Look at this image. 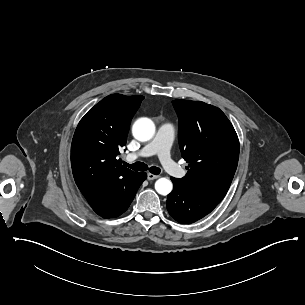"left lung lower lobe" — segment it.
I'll use <instances>...</instances> for the list:
<instances>
[{
    "instance_id": "obj_1",
    "label": "left lung lower lobe",
    "mask_w": 305,
    "mask_h": 305,
    "mask_svg": "<svg viewBox=\"0 0 305 305\" xmlns=\"http://www.w3.org/2000/svg\"><path fill=\"white\" fill-rule=\"evenodd\" d=\"M173 191L167 196L169 214L179 223L191 224L209 214L223 198L196 193L171 177Z\"/></svg>"
}]
</instances>
